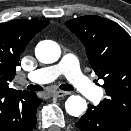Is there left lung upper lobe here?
Masks as SVG:
<instances>
[{
    "mask_svg": "<svg viewBox=\"0 0 131 131\" xmlns=\"http://www.w3.org/2000/svg\"><path fill=\"white\" fill-rule=\"evenodd\" d=\"M65 25L84 44L91 67L104 80L106 99L99 103L131 125V37L117 23L82 16Z\"/></svg>",
    "mask_w": 131,
    "mask_h": 131,
    "instance_id": "1",
    "label": "left lung upper lobe"
}]
</instances>
